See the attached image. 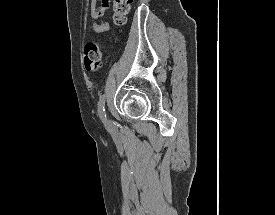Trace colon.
I'll return each mask as SVG.
<instances>
[{
    "mask_svg": "<svg viewBox=\"0 0 275 215\" xmlns=\"http://www.w3.org/2000/svg\"><path fill=\"white\" fill-rule=\"evenodd\" d=\"M133 0H114L113 22L116 26L125 24ZM83 64L87 72L96 73L102 67L103 53L100 44L96 41H89L83 48Z\"/></svg>",
    "mask_w": 275,
    "mask_h": 215,
    "instance_id": "5ec220e1",
    "label": "colon"
}]
</instances>
